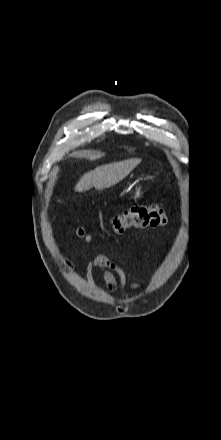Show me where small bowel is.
<instances>
[{"label": "small bowel", "mask_w": 221, "mask_h": 440, "mask_svg": "<svg viewBox=\"0 0 221 440\" xmlns=\"http://www.w3.org/2000/svg\"><path fill=\"white\" fill-rule=\"evenodd\" d=\"M62 260L65 268L69 272H72L74 270V264L72 261L65 256H62ZM96 271L100 273L101 278L110 293H115L119 287L116 275L121 277L123 285L129 283L132 288L140 287V284L130 282L129 274L106 255H98L93 260L87 262L85 267V278L89 285H94Z\"/></svg>", "instance_id": "1"}]
</instances>
